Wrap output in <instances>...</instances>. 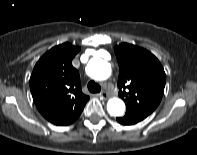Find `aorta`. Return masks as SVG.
I'll return each mask as SVG.
<instances>
[{
  "label": "aorta",
  "instance_id": "762f6f07",
  "mask_svg": "<svg viewBox=\"0 0 197 155\" xmlns=\"http://www.w3.org/2000/svg\"><path fill=\"white\" fill-rule=\"evenodd\" d=\"M86 72L95 80H105L111 75V66L101 58H92L87 65ZM107 111L111 116H122L125 104L119 98H111L107 102Z\"/></svg>",
  "mask_w": 197,
  "mask_h": 155
}]
</instances>
